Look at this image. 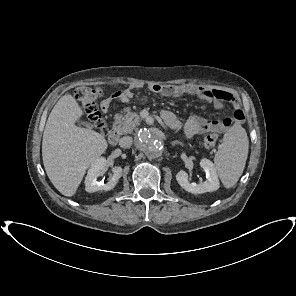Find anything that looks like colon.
Returning a JSON list of instances; mask_svg holds the SVG:
<instances>
[{
	"label": "colon",
	"instance_id": "colon-1",
	"mask_svg": "<svg viewBox=\"0 0 296 296\" xmlns=\"http://www.w3.org/2000/svg\"><path fill=\"white\" fill-rule=\"evenodd\" d=\"M102 94L101 89L94 87H80L76 91V98L79 101L81 111L101 131L105 130V123L102 118L97 100ZM218 135L208 133L202 140V145L206 148H212L217 144Z\"/></svg>",
	"mask_w": 296,
	"mask_h": 296
}]
</instances>
